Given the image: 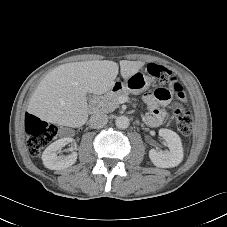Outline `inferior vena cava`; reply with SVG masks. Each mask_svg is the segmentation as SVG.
<instances>
[{
  "label": "inferior vena cava",
  "instance_id": "inferior-vena-cava-1",
  "mask_svg": "<svg viewBox=\"0 0 227 227\" xmlns=\"http://www.w3.org/2000/svg\"><path fill=\"white\" fill-rule=\"evenodd\" d=\"M108 122V116L104 113H96L90 117V125L93 128H102Z\"/></svg>",
  "mask_w": 227,
  "mask_h": 227
}]
</instances>
